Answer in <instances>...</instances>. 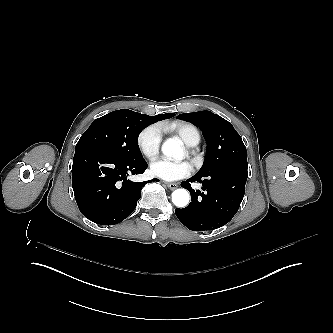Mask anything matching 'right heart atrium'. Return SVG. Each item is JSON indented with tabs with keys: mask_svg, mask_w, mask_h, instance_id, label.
Returning <instances> with one entry per match:
<instances>
[{
	"mask_svg": "<svg viewBox=\"0 0 333 333\" xmlns=\"http://www.w3.org/2000/svg\"><path fill=\"white\" fill-rule=\"evenodd\" d=\"M161 134L154 126L146 128L138 137L137 144L142 155L152 164L159 156Z\"/></svg>",
	"mask_w": 333,
	"mask_h": 333,
	"instance_id": "obj_1",
	"label": "right heart atrium"
}]
</instances>
